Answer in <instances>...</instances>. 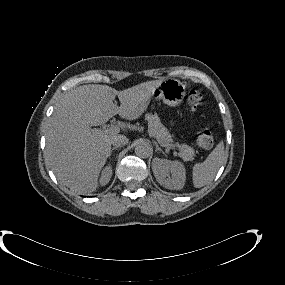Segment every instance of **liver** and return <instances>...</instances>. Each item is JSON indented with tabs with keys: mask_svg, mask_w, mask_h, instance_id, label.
Instances as JSON below:
<instances>
[{
	"mask_svg": "<svg viewBox=\"0 0 285 285\" xmlns=\"http://www.w3.org/2000/svg\"><path fill=\"white\" fill-rule=\"evenodd\" d=\"M162 80L147 81L123 91L107 85H82L57 102L48 121L45 159L59 182L80 194L98 188L99 174L117 133L92 129L119 114L138 119ZM119 98L120 107L113 101Z\"/></svg>",
	"mask_w": 285,
	"mask_h": 285,
	"instance_id": "1",
	"label": "liver"
}]
</instances>
